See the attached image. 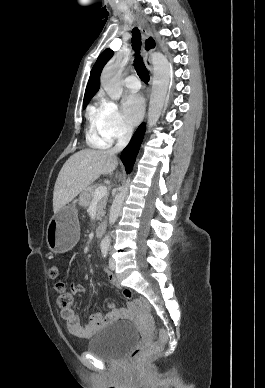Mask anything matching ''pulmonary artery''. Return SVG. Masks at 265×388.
Here are the masks:
<instances>
[{
	"label": "pulmonary artery",
	"mask_w": 265,
	"mask_h": 388,
	"mask_svg": "<svg viewBox=\"0 0 265 388\" xmlns=\"http://www.w3.org/2000/svg\"><path fill=\"white\" fill-rule=\"evenodd\" d=\"M125 84L129 86L128 93L129 94H138L140 89L138 88L140 81L136 79L135 75H126Z\"/></svg>",
	"instance_id": "pulmonary-artery-1"
}]
</instances>
